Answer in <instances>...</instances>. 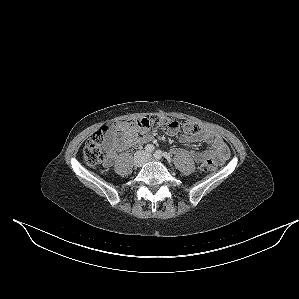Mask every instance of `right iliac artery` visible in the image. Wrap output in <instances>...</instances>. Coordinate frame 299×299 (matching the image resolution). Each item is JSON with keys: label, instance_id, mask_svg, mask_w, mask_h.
I'll return each mask as SVG.
<instances>
[{"label": "right iliac artery", "instance_id": "1", "mask_svg": "<svg viewBox=\"0 0 299 299\" xmlns=\"http://www.w3.org/2000/svg\"><path fill=\"white\" fill-rule=\"evenodd\" d=\"M145 150L148 152V153H151L154 151V146L151 145V144H148L146 147H145Z\"/></svg>", "mask_w": 299, "mask_h": 299}]
</instances>
